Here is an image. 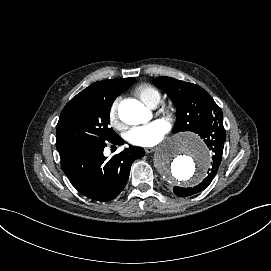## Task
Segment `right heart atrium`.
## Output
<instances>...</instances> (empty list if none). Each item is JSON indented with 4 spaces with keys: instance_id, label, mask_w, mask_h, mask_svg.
Instances as JSON below:
<instances>
[{
    "instance_id": "d8ad5b80",
    "label": "right heart atrium",
    "mask_w": 271,
    "mask_h": 271,
    "mask_svg": "<svg viewBox=\"0 0 271 271\" xmlns=\"http://www.w3.org/2000/svg\"><path fill=\"white\" fill-rule=\"evenodd\" d=\"M119 101H120L119 97L114 98L110 104L109 111H108L109 121L116 128L120 127L119 122H118V115H117V105Z\"/></svg>"
}]
</instances>
